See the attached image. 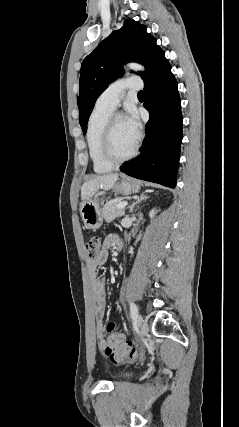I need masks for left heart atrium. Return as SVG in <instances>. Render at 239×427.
I'll list each match as a JSON object with an SVG mask.
<instances>
[{"instance_id":"1","label":"left heart atrium","mask_w":239,"mask_h":427,"mask_svg":"<svg viewBox=\"0 0 239 427\" xmlns=\"http://www.w3.org/2000/svg\"><path fill=\"white\" fill-rule=\"evenodd\" d=\"M125 126L129 130V132L135 137L138 138L140 123L138 121V117L133 110H129L128 113L123 118Z\"/></svg>"}]
</instances>
